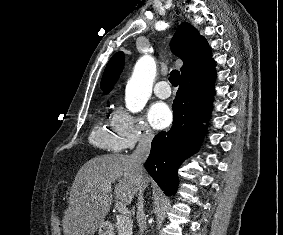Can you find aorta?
Wrapping results in <instances>:
<instances>
[{"mask_svg": "<svg viewBox=\"0 0 283 235\" xmlns=\"http://www.w3.org/2000/svg\"><path fill=\"white\" fill-rule=\"evenodd\" d=\"M156 75V62L153 57L142 56L134 67L133 74L126 86V108L133 113L141 111L146 105Z\"/></svg>", "mask_w": 283, "mask_h": 235, "instance_id": "762f6f07", "label": "aorta"}]
</instances>
